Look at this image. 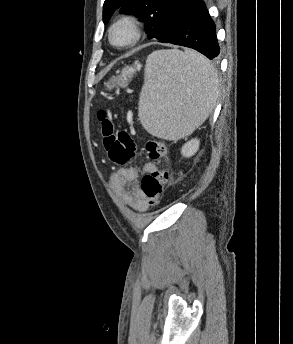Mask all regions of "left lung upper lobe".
I'll return each instance as SVG.
<instances>
[{"mask_svg":"<svg viewBox=\"0 0 293 344\" xmlns=\"http://www.w3.org/2000/svg\"><path fill=\"white\" fill-rule=\"evenodd\" d=\"M192 0H105L103 22L106 24L113 12L135 15L145 21L148 38L161 41L176 26Z\"/></svg>","mask_w":293,"mask_h":344,"instance_id":"obj_1","label":"left lung upper lobe"}]
</instances>
